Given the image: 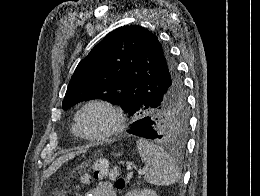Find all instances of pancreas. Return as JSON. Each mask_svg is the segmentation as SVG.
Listing matches in <instances>:
<instances>
[{
  "instance_id": "1",
  "label": "pancreas",
  "mask_w": 260,
  "mask_h": 196,
  "mask_svg": "<svg viewBox=\"0 0 260 196\" xmlns=\"http://www.w3.org/2000/svg\"><path fill=\"white\" fill-rule=\"evenodd\" d=\"M130 178H132V174H127V176H126V178H125L126 184H128Z\"/></svg>"
}]
</instances>
